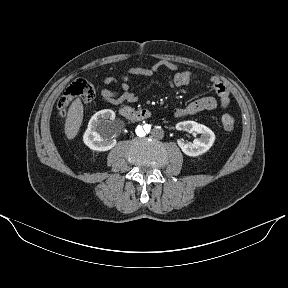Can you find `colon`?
<instances>
[{"instance_id":"1","label":"colon","mask_w":288,"mask_h":288,"mask_svg":"<svg viewBox=\"0 0 288 288\" xmlns=\"http://www.w3.org/2000/svg\"><path fill=\"white\" fill-rule=\"evenodd\" d=\"M96 93V87L92 83L84 79H77L65 90L58 101L57 108L60 114L64 116L72 101L80 100L83 102H90L95 98ZM221 123L223 129L227 132H231L234 129L235 121L229 114H224L222 116Z\"/></svg>"}]
</instances>
